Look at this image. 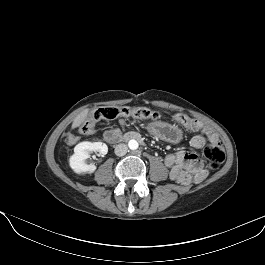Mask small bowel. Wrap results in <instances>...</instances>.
Returning a JSON list of instances; mask_svg holds the SVG:
<instances>
[{
  "label": "small bowel",
  "instance_id": "obj_1",
  "mask_svg": "<svg viewBox=\"0 0 265 265\" xmlns=\"http://www.w3.org/2000/svg\"><path fill=\"white\" fill-rule=\"evenodd\" d=\"M194 121L193 127H186L192 132H199L201 135L194 136L190 145L194 149H201L206 141L213 142L218 140L217 133L209 126L204 125L202 122L192 119ZM119 124L122 128L127 126L125 118H119ZM121 131L115 125H110L103 132V138L110 142H116L120 139ZM164 163L169 169L170 178L183 185H190L193 183H201L208 176V170L204 167L202 161L195 153L188 151H177L168 154Z\"/></svg>",
  "mask_w": 265,
  "mask_h": 265
}]
</instances>
